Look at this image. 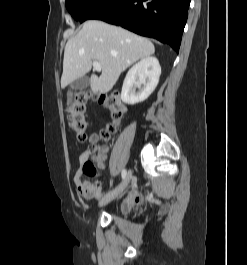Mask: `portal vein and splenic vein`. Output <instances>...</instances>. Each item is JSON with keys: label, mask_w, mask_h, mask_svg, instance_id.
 Here are the masks:
<instances>
[{"label": "portal vein and splenic vein", "mask_w": 247, "mask_h": 265, "mask_svg": "<svg viewBox=\"0 0 247 265\" xmlns=\"http://www.w3.org/2000/svg\"><path fill=\"white\" fill-rule=\"evenodd\" d=\"M93 68L95 70H97V71H101L102 70V67H101L100 63L97 62V61H93Z\"/></svg>", "instance_id": "1"}]
</instances>
